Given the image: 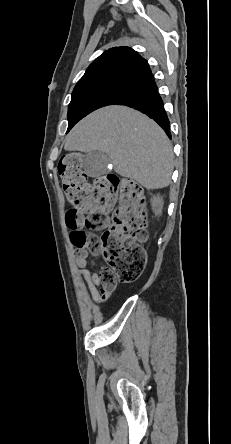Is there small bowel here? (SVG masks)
Wrapping results in <instances>:
<instances>
[{
  "instance_id": "obj_1",
  "label": "small bowel",
  "mask_w": 231,
  "mask_h": 444,
  "mask_svg": "<svg viewBox=\"0 0 231 444\" xmlns=\"http://www.w3.org/2000/svg\"><path fill=\"white\" fill-rule=\"evenodd\" d=\"M81 234L76 231H71V240L74 246L78 248L77 251V266L79 267L80 276L85 284V287L89 294L91 295L93 301L100 305L106 303L110 299V293L104 291L99 283V275L92 269L86 268L89 263L88 256L84 251L81 244ZM91 267H93V262H90Z\"/></svg>"
}]
</instances>
